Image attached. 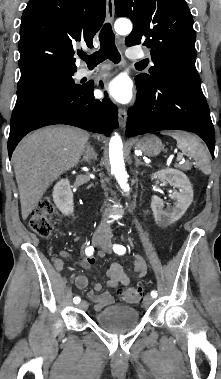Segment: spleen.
<instances>
[{"mask_svg": "<svg viewBox=\"0 0 221 379\" xmlns=\"http://www.w3.org/2000/svg\"><path fill=\"white\" fill-rule=\"evenodd\" d=\"M167 134L177 141V146L183 154L194 159L199 170L206 175L210 174L209 152L198 137L183 131L168 132Z\"/></svg>", "mask_w": 221, "mask_h": 379, "instance_id": "1", "label": "spleen"}]
</instances>
